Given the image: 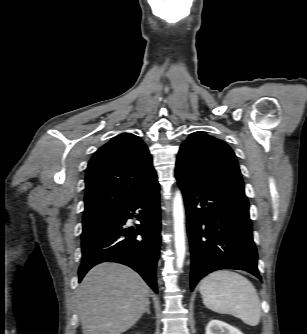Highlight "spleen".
Returning <instances> with one entry per match:
<instances>
[{"instance_id": "3e777b00", "label": "spleen", "mask_w": 307, "mask_h": 334, "mask_svg": "<svg viewBox=\"0 0 307 334\" xmlns=\"http://www.w3.org/2000/svg\"><path fill=\"white\" fill-rule=\"evenodd\" d=\"M199 291L208 309L233 315L250 326L259 324V297L253 284L244 276L229 270L215 271L202 279Z\"/></svg>"}]
</instances>
